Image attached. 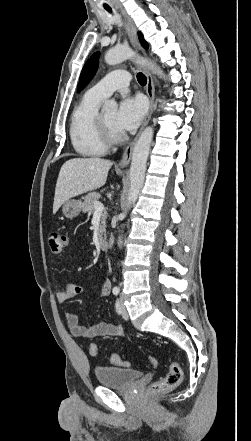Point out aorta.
<instances>
[{"mask_svg": "<svg viewBox=\"0 0 251 441\" xmlns=\"http://www.w3.org/2000/svg\"><path fill=\"white\" fill-rule=\"evenodd\" d=\"M133 57L134 53L130 48L117 47L109 50L106 53L105 62L109 65H116L126 59H130ZM143 62L155 74L159 75L160 77H164L163 71L155 64L147 60H144ZM103 109L115 111L117 109V103L114 100H108L105 102ZM153 133L154 132L152 127L145 128L134 146L130 166V188L127 198L128 208L135 204L138 195L142 189L145 178L146 162L150 151ZM122 217H125V215L122 214ZM118 246L122 247V236L118 237Z\"/></svg>", "mask_w": 251, "mask_h": 441, "instance_id": "obj_1", "label": "aorta"}]
</instances>
